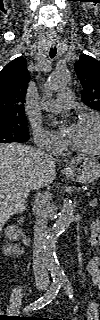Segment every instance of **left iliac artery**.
I'll list each match as a JSON object with an SVG mask.
<instances>
[{
    "mask_svg": "<svg viewBox=\"0 0 100 320\" xmlns=\"http://www.w3.org/2000/svg\"><path fill=\"white\" fill-rule=\"evenodd\" d=\"M61 284L64 290L66 291V293L68 294L69 298L73 300V289L70 284V281L68 279H62Z\"/></svg>",
    "mask_w": 100,
    "mask_h": 320,
    "instance_id": "44dca946",
    "label": "left iliac artery"
}]
</instances>
